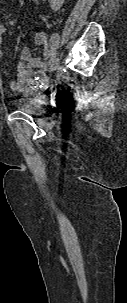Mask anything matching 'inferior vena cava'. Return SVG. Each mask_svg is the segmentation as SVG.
<instances>
[{
	"instance_id": "obj_1",
	"label": "inferior vena cava",
	"mask_w": 127,
	"mask_h": 303,
	"mask_svg": "<svg viewBox=\"0 0 127 303\" xmlns=\"http://www.w3.org/2000/svg\"><path fill=\"white\" fill-rule=\"evenodd\" d=\"M51 9L54 11H57L60 9L62 4L64 3V0H49Z\"/></svg>"
}]
</instances>
